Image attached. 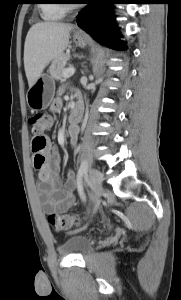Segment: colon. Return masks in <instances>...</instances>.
<instances>
[{"instance_id": "5ec220e1", "label": "colon", "mask_w": 181, "mask_h": 300, "mask_svg": "<svg viewBox=\"0 0 181 300\" xmlns=\"http://www.w3.org/2000/svg\"><path fill=\"white\" fill-rule=\"evenodd\" d=\"M32 135L31 149L33 154L42 155L46 150L48 139L45 132L53 125V118L50 115L36 113L28 120ZM38 164L43 162V157L37 159ZM50 225L55 230H68L80 223V218L70 214H50L48 217Z\"/></svg>"}]
</instances>
